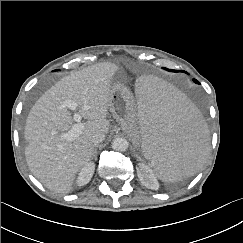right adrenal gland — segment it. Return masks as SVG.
Masks as SVG:
<instances>
[{
    "label": "right adrenal gland",
    "instance_id": "2a0ac1e0",
    "mask_svg": "<svg viewBox=\"0 0 243 243\" xmlns=\"http://www.w3.org/2000/svg\"><path fill=\"white\" fill-rule=\"evenodd\" d=\"M97 147L98 146H96L95 147V149H94V153H93V158L96 160V156H97Z\"/></svg>",
    "mask_w": 243,
    "mask_h": 243
}]
</instances>
